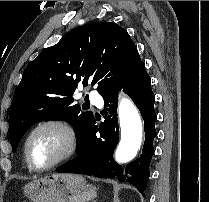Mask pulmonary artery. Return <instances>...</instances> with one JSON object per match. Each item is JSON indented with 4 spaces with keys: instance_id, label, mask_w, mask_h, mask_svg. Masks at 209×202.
<instances>
[{
    "instance_id": "obj_1",
    "label": "pulmonary artery",
    "mask_w": 209,
    "mask_h": 202,
    "mask_svg": "<svg viewBox=\"0 0 209 202\" xmlns=\"http://www.w3.org/2000/svg\"><path fill=\"white\" fill-rule=\"evenodd\" d=\"M89 98L92 105L96 106L97 108H102V97L97 92L91 91Z\"/></svg>"
}]
</instances>
